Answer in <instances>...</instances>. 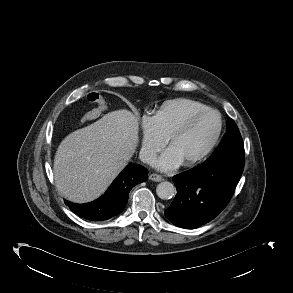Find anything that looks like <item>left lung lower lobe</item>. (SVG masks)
I'll list each match as a JSON object with an SVG mask.
<instances>
[{
    "instance_id": "left-lung-lower-lobe-1",
    "label": "left lung lower lobe",
    "mask_w": 293,
    "mask_h": 293,
    "mask_svg": "<svg viewBox=\"0 0 293 293\" xmlns=\"http://www.w3.org/2000/svg\"><path fill=\"white\" fill-rule=\"evenodd\" d=\"M212 163H202L173 177L177 194L165 210L175 225L195 229L214 219L229 203L244 168V147L221 149Z\"/></svg>"
}]
</instances>
